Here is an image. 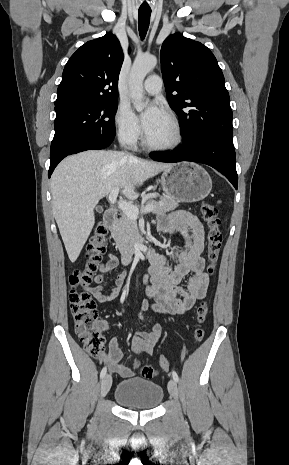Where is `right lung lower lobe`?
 <instances>
[{"label": "right lung lower lobe", "instance_id": "1", "mask_svg": "<svg viewBox=\"0 0 289 465\" xmlns=\"http://www.w3.org/2000/svg\"><path fill=\"white\" fill-rule=\"evenodd\" d=\"M112 142H113V139H93V140L84 141L81 144H78L73 149H70L62 153L61 155L57 156L55 159L50 160V168L48 171V177L50 178L55 167L66 156L75 154L78 152L86 151V150L103 149V148L108 147Z\"/></svg>", "mask_w": 289, "mask_h": 465}]
</instances>
